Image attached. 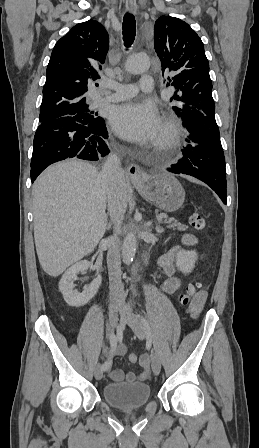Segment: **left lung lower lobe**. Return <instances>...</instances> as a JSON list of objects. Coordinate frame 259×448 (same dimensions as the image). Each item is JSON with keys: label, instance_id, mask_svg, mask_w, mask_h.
I'll return each instance as SVG.
<instances>
[{"label": "left lung lower lobe", "instance_id": "obj_1", "mask_svg": "<svg viewBox=\"0 0 259 448\" xmlns=\"http://www.w3.org/2000/svg\"><path fill=\"white\" fill-rule=\"evenodd\" d=\"M181 118L190 133L186 139L189 144L182 150L183 158L167 170L205 182L226 204L225 157L215 116L200 110H187Z\"/></svg>", "mask_w": 259, "mask_h": 448}]
</instances>
